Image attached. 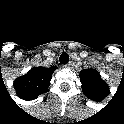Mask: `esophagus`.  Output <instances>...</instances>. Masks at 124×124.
<instances>
[{
  "mask_svg": "<svg viewBox=\"0 0 124 124\" xmlns=\"http://www.w3.org/2000/svg\"><path fill=\"white\" fill-rule=\"evenodd\" d=\"M64 66L67 67V68H72L74 66V63L72 61H70L69 63H67Z\"/></svg>",
  "mask_w": 124,
  "mask_h": 124,
  "instance_id": "1",
  "label": "esophagus"
}]
</instances>
